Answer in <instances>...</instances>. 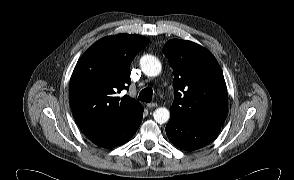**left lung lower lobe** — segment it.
<instances>
[{
  "mask_svg": "<svg viewBox=\"0 0 294 180\" xmlns=\"http://www.w3.org/2000/svg\"><path fill=\"white\" fill-rule=\"evenodd\" d=\"M223 124H189L171 115L165 128L169 140L177 147L193 151L211 143Z\"/></svg>",
  "mask_w": 294,
  "mask_h": 180,
  "instance_id": "0a47b994",
  "label": "left lung lower lobe"
}]
</instances>
